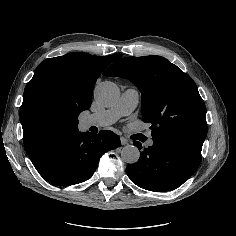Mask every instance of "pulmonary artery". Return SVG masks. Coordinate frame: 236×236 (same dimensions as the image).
Masks as SVG:
<instances>
[{
    "label": "pulmonary artery",
    "mask_w": 236,
    "mask_h": 236,
    "mask_svg": "<svg viewBox=\"0 0 236 236\" xmlns=\"http://www.w3.org/2000/svg\"><path fill=\"white\" fill-rule=\"evenodd\" d=\"M141 93L135 88L126 89L119 97L117 102L107 110L97 114H91L90 118L101 120L103 124L108 125L117 121L120 117L130 114L137 107ZM148 146L153 145V141L147 142Z\"/></svg>",
    "instance_id": "e3ab8cb5"
}]
</instances>
